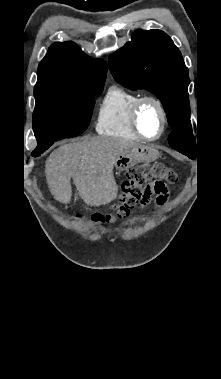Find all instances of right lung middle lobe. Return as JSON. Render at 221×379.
<instances>
[{
	"label": "right lung middle lobe",
	"instance_id": "right-lung-middle-lobe-1",
	"mask_svg": "<svg viewBox=\"0 0 221 379\" xmlns=\"http://www.w3.org/2000/svg\"><path fill=\"white\" fill-rule=\"evenodd\" d=\"M102 91L100 86L36 96L32 123L38 143L36 149H48L61 138L83 133L92 116L93 97Z\"/></svg>",
	"mask_w": 221,
	"mask_h": 379
}]
</instances>
